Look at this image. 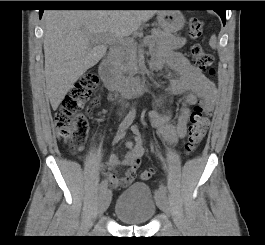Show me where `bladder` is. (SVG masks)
<instances>
[{"mask_svg":"<svg viewBox=\"0 0 265 245\" xmlns=\"http://www.w3.org/2000/svg\"><path fill=\"white\" fill-rule=\"evenodd\" d=\"M157 207V200L147 185L132 184L118 196L114 214L123 224L142 225L154 216Z\"/></svg>","mask_w":265,"mask_h":245,"instance_id":"31cf9c89","label":"bladder"}]
</instances>
